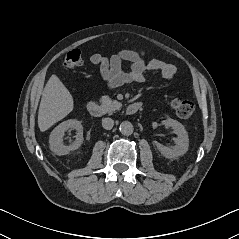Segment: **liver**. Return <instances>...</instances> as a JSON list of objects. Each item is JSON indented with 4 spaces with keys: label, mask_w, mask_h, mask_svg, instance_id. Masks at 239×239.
Returning a JSON list of instances; mask_svg holds the SVG:
<instances>
[{
    "label": "liver",
    "mask_w": 239,
    "mask_h": 239,
    "mask_svg": "<svg viewBox=\"0 0 239 239\" xmlns=\"http://www.w3.org/2000/svg\"><path fill=\"white\" fill-rule=\"evenodd\" d=\"M73 107L71 93L53 74L43 90L39 106L38 127L40 131L48 130L56 122L65 118L73 110Z\"/></svg>",
    "instance_id": "1"
}]
</instances>
